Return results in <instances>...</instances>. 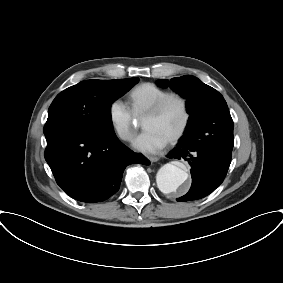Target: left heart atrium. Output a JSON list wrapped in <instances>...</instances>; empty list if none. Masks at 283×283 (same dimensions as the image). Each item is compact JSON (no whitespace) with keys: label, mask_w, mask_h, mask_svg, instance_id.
I'll use <instances>...</instances> for the list:
<instances>
[{"label":"left heart atrium","mask_w":283,"mask_h":283,"mask_svg":"<svg viewBox=\"0 0 283 283\" xmlns=\"http://www.w3.org/2000/svg\"><path fill=\"white\" fill-rule=\"evenodd\" d=\"M168 140L154 130H145L133 142L136 150L143 153H156L162 149Z\"/></svg>","instance_id":"obj_1"}]
</instances>
